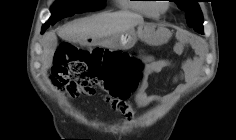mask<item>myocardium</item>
Wrapping results in <instances>:
<instances>
[{
	"label": "myocardium",
	"instance_id": "f54148a6",
	"mask_svg": "<svg viewBox=\"0 0 236 140\" xmlns=\"http://www.w3.org/2000/svg\"><path fill=\"white\" fill-rule=\"evenodd\" d=\"M170 5L169 4H159L157 5V11L160 13H165L166 11H168Z\"/></svg>",
	"mask_w": 236,
	"mask_h": 140
}]
</instances>
